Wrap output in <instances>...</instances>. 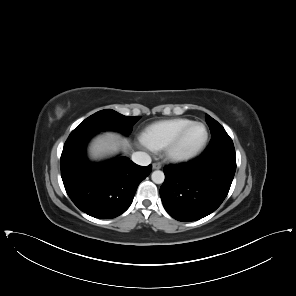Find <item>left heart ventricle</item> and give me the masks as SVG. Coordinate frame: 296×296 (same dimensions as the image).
<instances>
[{
	"mask_svg": "<svg viewBox=\"0 0 296 296\" xmlns=\"http://www.w3.org/2000/svg\"><path fill=\"white\" fill-rule=\"evenodd\" d=\"M204 137V129L201 126H192L182 136L176 147L178 153H189L195 150L202 142Z\"/></svg>",
	"mask_w": 296,
	"mask_h": 296,
	"instance_id": "obj_1",
	"label": "left heart ventricle"
}]
</instances>
